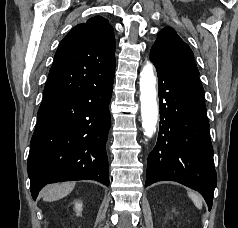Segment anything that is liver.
Returning a JSON list of instances; mask_svg holds the SVG:
<instances>
[{
  "label": "liver",
  "instance_id": "liver-1",
  "mask_svg": "<svg viewBox=\"0 0 238 228\" xmlns=\"http://www.w3.org/2000/svg\"><path fill=\"white\" fill-rule=\"evenodd\" d=\"M75 183H59L47 186L42 192V198L46 202L59 200L72 192Z\"/></svg>",
  "mask_w": 238,
  "mask_h": 228
}]
</instances>
